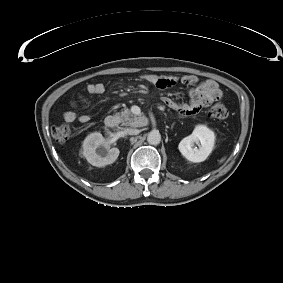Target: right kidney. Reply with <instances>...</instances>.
<instances>
[{"label":"right kidney","instance_id":"ca27d5eb","mask_svg":"<svg viewBox=\"0 0 283 283\" xmlns=\"http://www.w3.org/2000/svg\"><path fill=\"white\" fill-rule=\"evenodd\" d=\"M83 155L96 167L112 164L119 156V149L110 147L109 142L99 132L89 134L83 141Z\"/></svg>","mask_w":283,"mask_h":283}]
</instances>
